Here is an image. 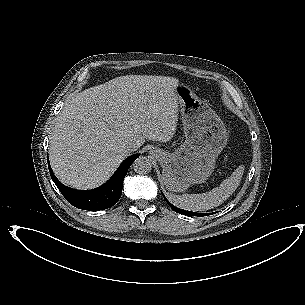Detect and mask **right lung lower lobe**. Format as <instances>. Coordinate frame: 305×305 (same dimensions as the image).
I'll list each match as a JSON object with an SVG mask.
<instances>
[{
    "label": "right lung lower lobe",
    "mask_w": 305,
    "mask_h": 305,
    "mask_svg": "<svg viewBox=\"0 0 305 305\" xmlns=\"http://www.w3.org/2000/svg\"><path fill=\"white\" fill-rule=\"evenodd\" d=\"M138 156L139 154H135L125 159L104 185L88 191L75 190L64 186L53 174L49 163L48 167L52 180L70 204L79 209L98 211L112 207L120 199L123 180L128 168Z\"/></svg>",
    "instance_id": "right-lung-lower-lobe-1"
}]
</instances>
